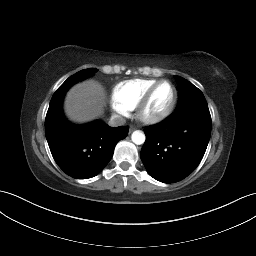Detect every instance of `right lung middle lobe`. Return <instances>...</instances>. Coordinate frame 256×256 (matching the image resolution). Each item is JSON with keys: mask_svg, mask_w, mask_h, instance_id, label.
Here are the masks:
<instances>
[{"mask_svg": "<svg viewBox=\"0 0 256 256\" xmlns=\"http://www.w3.org/2000/svg\"><path fill=\"white\" fill-rule=\"evenodd\" d=\"M96 71H98L95 68H90V69H84L81 70L79 72H77L76 74L72 75L71 77H69L58 89L57 91L54 93L53 97H57L60 95H64L65 92L70 88V86H72L74 83L83 80L89 76H91L92 74H94Z\"/></svg>", "mask_w": 256, "mask_h": 256, "instance_id": "obj_1", "label": "right lung middle lobe"}]
</instances>
